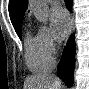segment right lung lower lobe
Listing matches in <instances>:
<instances>
[{"label":"right lung lower lobe","instance_id":"1","mask_svg":"<svg viewBox=\"0 0 89 89\" xmlns=\"http://www.w3.org/2000/svg\"><path fill=\"white\" fill-rule=\"evenodd\" d=\"M67 7L71 8V0H65ZM75 66V43L71 36L67 48L64 49L62 58L57 67L58 76L70 87L73 85V70Z\"/></svg>","mask_w":89,"mask_h":89}]
</instances>
